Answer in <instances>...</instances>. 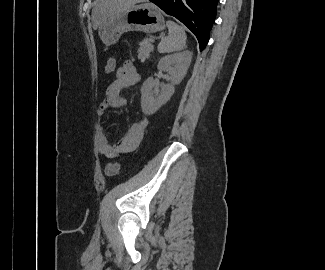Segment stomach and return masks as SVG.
I'll list each match as a JSON object with an SVG mask.
<instances>
[{
	"instance_id": "1",
	"label": "stomach",
	"mask_w": 325,
	"mask_h": 270,
	"mask_svg": "<svg viewBox=\"0 0 325 270\" xmlns=\"http://www.w3.org/2000/svg\"><path fill=\"white\" fill-rule=\"evenodd\" d=\"M164 28V18L158 8L145 3L121 9L106 17L99 27V36L105 45H113L125 32L155 33Z\"/></svg>"
}]
</instances>
